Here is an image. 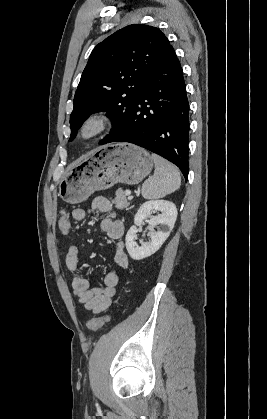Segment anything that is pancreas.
I'll return each mask as SVG.
<instances>
[{
    "label": "pancreas",
    "mask_w": 267,
    "mask_h": 419,
    "mask_svg": "<svg viewBox=\"0 0 267 419\" xmlns=\"http://www.w3.org/2000/svg\"><path fill=\"white\" fill-rule=\"evenodd\" d=\"M116 208L122 210L130 205V202L126 198V194L122 189H118L115 193V198L112 200Z\"/></svg>",
    "instance_id": "1"
}]
</instances>
